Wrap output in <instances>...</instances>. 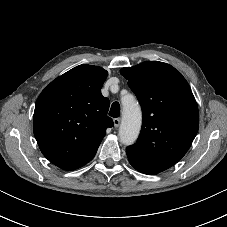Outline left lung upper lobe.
Instances as JSON below:
<instances>
[{
  "instance_id": "1",
  "label": "left lung upper lobe",
  "mask_w": 227,
  "mask_h": 227,
  "mask_svg": "<svg viewBox=\"0 0 227 227\" xmlns=\"http://www.w3.org/2000/svg\"><path fill=\"white\" fill-rule=\"evenodd\" d=\"M143 112L137 142L127 147L133 167L159 173L190 148L199 127L196 100L185 78L171 65L146 61L120 70Z\"/></svg>"
}]
</instances>
